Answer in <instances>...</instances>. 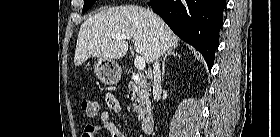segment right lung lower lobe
Instances as JSON below:
<instances>
[{
  "label": "right lung lower lobe",
  "instance_id": "1",
  "mask_svg": "<svg viewBox=\"0 0 280 137\" xmlns=\"http://www.w3.org/2000/svg\"><path fill=\"white\" fill-rule=\"evenodd\" d=\"M149 5L213 66L226 0H150Z\"/></svg>",
  "mask_w": 280,
  "mask_h": 137
}]
</instances>
